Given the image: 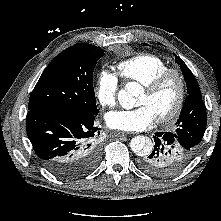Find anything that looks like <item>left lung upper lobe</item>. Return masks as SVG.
<instances>
[{
    "label": "left lung upper lobe",
    "instance_id": "obj_1",
    "mask_svg": "<svg viewBox=\"0 0 221 221\" xmlns=\"http://www.w3.org/2000/svg\"><path fill=\"white\" fill-rule=\"evenodd\" d=\"M175 57L184 75L188 96L175 124L174 133L178 134L191 150L197 151L206 129V107L195 76L178 56Z\"/></svg>",
    "mask_w": 221,
    "mask_h": 221
}]
</instances>
